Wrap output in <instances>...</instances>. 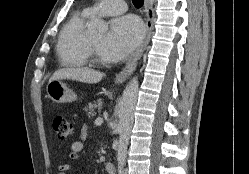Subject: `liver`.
<instances>
[{
    "label": "liver",
    "mask_w": 249,
    "mask_h": 174,
    "mask_svg": "<svg viewBox=\"0 0 249 174\" xmlns=\"http://www.w3.org/2000/svg\"><path fill=\"white\" fill-rule=\"evenodd\" d=\"M103 74L99 71L85 67H70L56 71L50 81L70 79L84 83H98L102 80Z\"/></svg>",
    "instance_id": "6515ba94"
}]
</instances>
